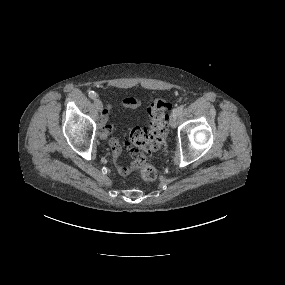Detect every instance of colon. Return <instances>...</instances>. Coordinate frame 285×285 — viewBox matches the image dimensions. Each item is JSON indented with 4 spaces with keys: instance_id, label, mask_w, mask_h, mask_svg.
<instances>
[{
    "instance_id": "1",
    "label": "colon",
    "mask_w": 285,
    "mask_h": 285,
    "mask_svg": "<svg viewBox=\"0 0 285 285\" xmlns=\"http://www.w3.org/2000/svg\"><path fill=\"white\" fill-rule=\"evenodd\" d=\"M170 108L171 105L166 100L154 99L149 108L148 127L137 126L129 132V140L135 147L132 149V167L146 181H153L157 177V170L153 165L146 163L145 154H156L164 146ZM112 144L113 142L110 143V146Z\"/></svg>"
}]
</instances>
